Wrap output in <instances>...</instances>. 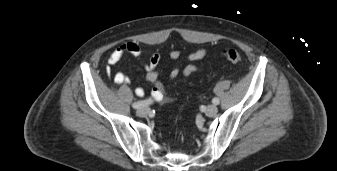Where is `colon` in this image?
Wrapping results in <instances>:
<instances>
[{
    "label": "colon",
    "instance_id": "colon-1",
    "mask_svg": "<svg viewBox=\"0 0 337 171\" xmlns=\"http://www.w3.org/2000/svg\"><path fill=\"white\" fill-rule=\"evenodd\" d=\"M223 56L226 60L234 64H239L242 62L241 54L234 49H225L223 51Z\"/></svg>",
    "mask_w": 337,
    "mask_h": 171
}]
</instances>
